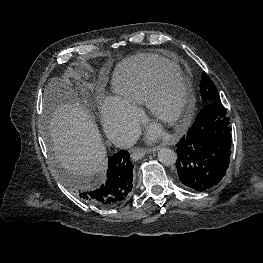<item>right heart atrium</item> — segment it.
Segmentation results:
<instances>
[{
    "mask_svg": "<svg viewBox=\"0 0 263 263\" xmlns=\"http://www.w3.org/2000/svg\"><path fill=\"white\" fill-rule=\"evenodd\" d=\"M100 112L103 125L109 133L118 134L126 141L136 135L141 113L135 107L115 97H108L101 103Z\"/></svg>",
    "mask_w": 263,
    "mask_h": 263,
    "instance_id": "1",
    "label": "right heart atrium"
}]
</instances>
